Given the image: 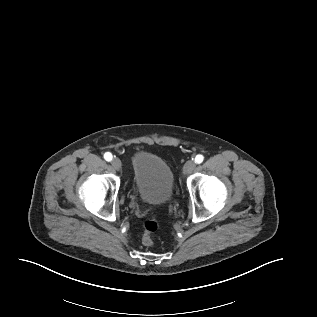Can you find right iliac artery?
Here are the masks:
<instances>
[{
	"label": "right iliac artery",
	"instance_id": "1",
	"mask_svg": "<svg viewBox=\"0 0 317 317\" xmlns=\"http://www.w3.org/2000/svg\"><path fill=\"white\" fill-rule=\"evenodd\" d=\"M104 158H105L106 161H111L112 160V154L109 153V152H106L104 154Z\"/></svg>",
	"mask_w": 317,
	"mask_h": 317
}]
</instances>
